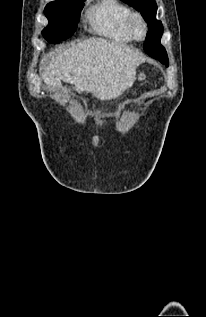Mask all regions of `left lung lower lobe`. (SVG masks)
Returning a JSON list of instances; mask_svg holds the SVG:
<instances>
[{"instance_id": "left-lung-lower-lobe-1", "label": "left lung lower lobe", "mask_w": 206, "mask_h": 317, "mask_svg": "<svg viewBox=\"0 0 206 317\" xmlns=\"http://www.w3.org/2000/svg\"><path fill=\"white\" fill-rule=\"evenodd\" d=\"M152 45L153 47L146 45V48L148 49V52H149L148 55L155 59L160 58V54L159 52H157L156 49H165V48L161 45L160 42H152Z\"/></svg>"}]
</instances>
